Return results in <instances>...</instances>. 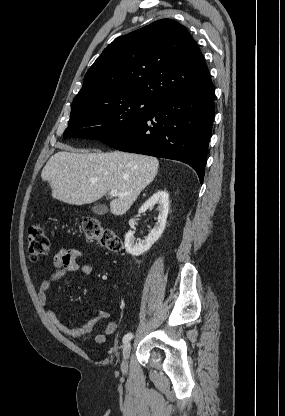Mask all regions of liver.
<instances>
[{"label":"liver","instance_id":"obj_1","mask_svg":"<svg viewBox=\"0 0 285 416\" xmlns=\"http://www.w3.org/2000/svg\"><path fill=\"white\" fill-rule=\"evenodd\" d=\"M65 150L49 158L41 172V178L48 182L52 198L83 206L103 198L110 190L118 194L110 202V212L123 216L137 200L142 190L157 176L159 162L151 156L110 152V154H88L87 150H73L71 146L56 144Z\"/></svg>","mask_w":285,"mask_h":416}]
</instances>
